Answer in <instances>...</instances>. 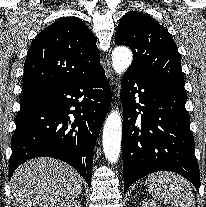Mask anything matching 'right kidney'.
<instances>
[{
	"label": "right kidney",
	"instance_id": "1",
	"mask_svg": "<svg viewBox=\"0 0 206 207\" xmlns=\"http://www.w3.org/2000/svg\"><path fill=\"white\" fill-rule=\"evenodd\" d=\"M67 207H81V205L77 202L67 205Z\"/></svg>",
	"mask_w": 206,
	"mask_h": 207
}]
</instances>
